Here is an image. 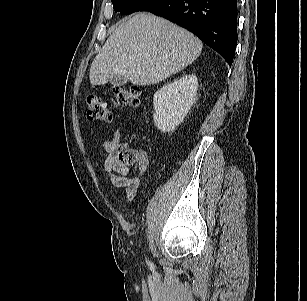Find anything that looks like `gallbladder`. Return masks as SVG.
Returning a JSON list of instances; mask_svg holds the SVG:
<instances>
[{"label":"gallbladder","instance_id":"gallbladder-1","mask_svg":"<svg viewBox=\"0 0 307 301\" xmlns=\"http://www.w3.org/2000/svg\"><path fill=\"white\" fill-rule=\"evenodd\" d=\"M127 79L123 76H120V75H116L114 77H112L110 79V83L113 85V86H116V87H121L123 85H125L127 83Z\"/></svg>","mask_w":307,"mask_h":301}]
</instances>
